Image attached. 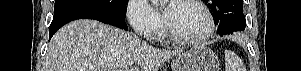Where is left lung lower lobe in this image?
<instances>
[{
    "label": "left lung lower lobe",
    "instance_id": "obj_1",
    "mask_svg": "<svg viewBox=\"0 0 301 71\" xmlns=\"http://www.w3.org/2000/svg\"><path fill=\"white\" fill-rule=\"evenodd\" d=\"M219 25L218 34L223 36L225 34H232L235 31H242L245 29L246 20L242 12L227 14L223 19L216 22Z\"/></svg>",
    "mask_w": 301,
    "mask_h": 71
}]
</instances>
